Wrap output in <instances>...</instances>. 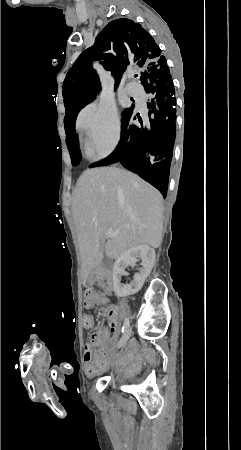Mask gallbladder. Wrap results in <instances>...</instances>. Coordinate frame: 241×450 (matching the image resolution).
Masks as SVG:
<instances>
[{
	"mask_svg": "<svg viewBox=\"0 0 241 450\" xmlns=\"http://www.w3.org/2000/svg\"><path fill=\"white\" fill-rule=\"evenodd\" d=\"M110 264H111V262H110L108 256H103L101 266H103V268H108V266H110Z\"/></svg>",
	"mask_w": 241,
	"mask_h": 450,
	"instance_id": "bac80fb5",
	"label": "gallbladder"
}]
</instances>
